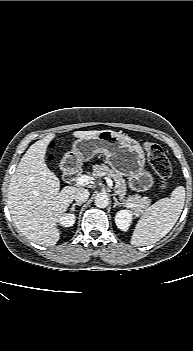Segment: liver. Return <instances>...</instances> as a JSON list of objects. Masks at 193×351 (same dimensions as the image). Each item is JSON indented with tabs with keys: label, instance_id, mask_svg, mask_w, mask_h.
I'll use <instances>...</instances> for the list:
<instances>
[{
	"label": "liver",
	"instance_id": "1",
	"mask_svg": "<svg viewBox=\"0 0 193 351\" xmlns=\"http://www.w3.org/2000/svg\"><path fill=\"white\" fill-rule=\"evenodd\" d=\"M100 131H75L76 138L90 139ZM55 138L49 134L32 144L22 156L8 188V207L17 228L31 241L54 246L59 238L57 227L79 188L66 186L45 163L48 145ZM82 188V187H80Z\"/></svg>",
	"mask_w": 193,
	"mask_h": 351
}]
</instances>
